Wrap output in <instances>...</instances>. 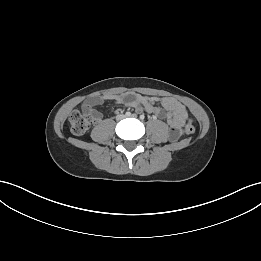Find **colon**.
I'll list each match as a JSON object with an SVG mask.
<instances>
[{
	"mask_svg": "<svg viewBox=\"0 0 261 261\" xmlns=\"http://www.w3.org/2000/svg\"><path fill=\"white\" fill-rule=\"evenodd\" d=\"M93 121L94 119L91 114L74 111L69 117L70 129L73 134L82 135L87 131ZM184 129L187 134L194 132V122L191 118L186 120Z\"/></svg>",
	"mask_w": 261,
	"mask_h": 261,
	"instance_id": "obj_1",
	"label": "colon"
}]
</instances>
